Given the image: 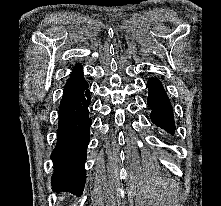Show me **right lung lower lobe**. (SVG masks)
Returning a JSON list of instances; mask_svg holds the SVG:
<instances>
[{
    "mask_svg": "<svg viewBox=\"0 0 221 206\" xmlns=\"http://www.w3.org/2000/svg\"><path fill=\"white\" fill-rule=\"evenodd\" d=\"M77 64L63 90L59 109L57 144L52 151L54 164L53 191L82 194L86 172V150L90 140V91Z\"/></svg>",
    "mask_w": 221,
    "mask_h": 206,
    "instance_id": "98d812e1",
    "label": "right lung lower lobe"
}]
</instances>
